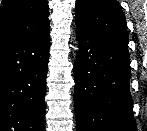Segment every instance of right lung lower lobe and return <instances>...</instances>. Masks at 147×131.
Instances as JSON below:
<instances>
[{
    "instance_id": "obj_1",
    "label": "right lung lower lobe",
    "mask_w": 147,
    "mask_h": 131,
    "mask_svg": "<svg viewBox=\"0 0 147 131\" xmlns=\"http://www.w3.org/2000/svg\"><path fill=\"white\" fill-rule=\"evenodd\" d=\"M49 29L0 47V131H44Z\"/></svg>"
}]
</instances>
